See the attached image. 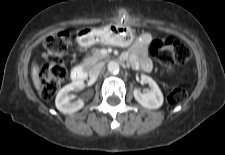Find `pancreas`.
Here are the masks:
<instances>
[{
  "label": "pancreas",
  "mask_w": 225,
  "mask_h": 155,
  "mask_svg": "<svg viewBox=\"0 0 225 155\" xmlns=\"http://www.w3.org/2000/svg\"><path fill=\"white\" fill-rule=\"evenodd\" d=\"M105 58L106 56L102 55L99 49H96L91 57L84 59L83 65L86 67H90Z\"/></svg>",
  "instance_id": "cf45deb5"
}]
</instances>
